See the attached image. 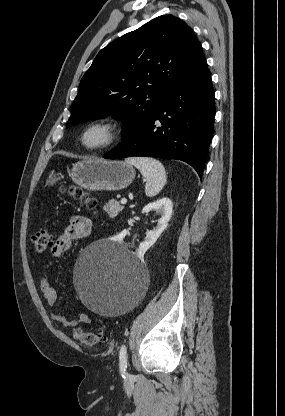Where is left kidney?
Here are the masks:
<instances>
[{"mask_svg":"<svg viewBox=\"0 0 285 416\" xmlns=\"http://www.w3.org/2000/svg\"><path fill=\"white\" fill-rule=\"evenodd\" d=\"M172 208L173 204L169 198H162V200H157V202H152V204H147L145 208H143L142 212L147 214V212H151V210H156L161 214L160 220H158V226L156 230H150L147 232L146 238L144 242H141L137 254L138 256H144L145 252L155 244L156 240H158L159 236H161L162 232H164L165 228H167V224L172 216ZM126 230L121 232V236H125Z\"/></svg>","mask_w":285,"mask_h":416,"instance_id":"1","label":"left kidney"}]
</instances>
